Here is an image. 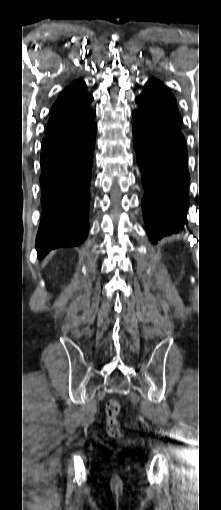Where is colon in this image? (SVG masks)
Wrapping results in <instances>:
<instances>
[{"instance_id":"colon-1","label":"colon","mask_w":221,"mask_h":510,"mask_svg":"<svg viewBox=\"0 0 221 510\" xmlns=\"http://www.w3.org/2000/svg\"><path fill=\"white\" fill-rule=\"evenodd\" d=\"M120 410L121 405L118 400L111 399L107 402L105 407L106 429L112 438H119L122 435V427L118 419Z\"/></svg>"}]
</instances>
